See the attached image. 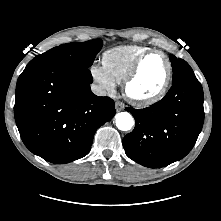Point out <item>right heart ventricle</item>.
Returning a JSON list of instances; mask_svg holds the SVG:
<instances>
[{
	"label": "right heart ventricle",
	"mask_w": 221,
	"mask_h": 221,
	"mask_svg": "<svg viewBox=\"0 0 221 221\" xmlns=\"http://www.w3.org/2000/svg\"><path fill=\"white\" fill-rule=\"evenodd\" d=\"M150 48L142 45H120L102 54V65L117 84L123 81L136 59Z\"/></svg>",
	"instance_id": "1"
}]
</instances>
